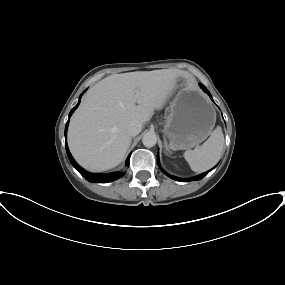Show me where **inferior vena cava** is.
I'll use <instances>...</instances> for the list:
<instances>
[{
    "mask_svg": "<svg viewBox=\"0 0 285 285\" xmlns=\"http://www.w3.org/2000/svg\"><path fill=\"white\" fill-rule=\"evenodd\" d=\"M126 129L130 136H136L142 130V123L138 120H132L128 123Z\"/></svg>",
    "mask_w": 285,
    "mask_h": 285,
    "instance_id": "602c4592",
    "label": "inferior vena cava"
}]
</instances>
